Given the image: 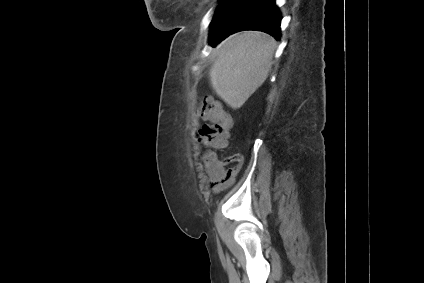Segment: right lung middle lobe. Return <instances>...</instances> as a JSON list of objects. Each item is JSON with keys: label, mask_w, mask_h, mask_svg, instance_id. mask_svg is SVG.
Masks as SVG:
<instances>
[{"label": "right lung middle lobe", "mask_w": 424, "mask_h": 283, "mask_svg": "<svg viewBox=\"0 0 424 283\" xmlns=\"http://www.w3.org/2000/svg\"><path fill=\"white\" fill-rule=\"evenodd\" d=\"M228 0H223L219 6L217 7V9L215 10L213 19L218 15V13L225 7V5L227 4Z\"/></svg>", "instance_id": "obj_1"}]
</instances>
